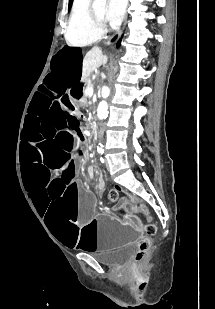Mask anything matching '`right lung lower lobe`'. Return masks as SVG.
Returning <instances> with one entry per match:
<instances>
[{
    "mask_svg": "<svg viewBox=\"0 0 215 309\" xmlns=\"http://www.w3.org/2000/svg\"><path fill=\"white\" fill-rule=\"evenodd\" d=\"M120 42H121V40L118 41V43H117L118 46L120 45Z\"/></svg>",
    "mask_w": 215,
    "mask_h": 309,
    "instance_id": "obj_1",
    "label": "right lung lower lobe"
}]
</instances>
